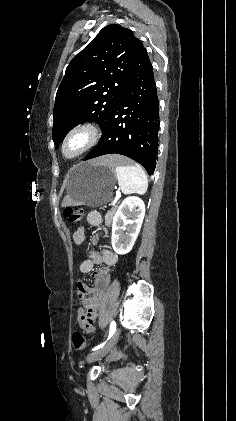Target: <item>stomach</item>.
<instances>
[{"label":"stomach","mask_w":236,"mask_h":421,"mask_svg":"<svg viewBox=\"0 0 236 421\" xmlns=\"http://www.w3.org/2000/svg\"><path fill=\"white\" fill-rule=\"evenodd\" d=\"M114 166L94 160L79 162L68 174L67 192L73 204L100 206L109 202L115 180Z\"/></svg>","instance_id":"obj_1"}]
</instances>
